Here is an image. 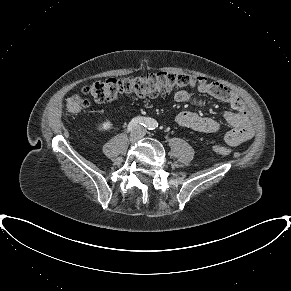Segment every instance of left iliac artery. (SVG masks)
<instances>
[{"instance_id":"1","label":"left iliac artery","mask_w":291,"mask_h":291,"mask_svg":"<svg viewBox=\"0 0 291 291\" xmlns=\"http://www.w3.org/2000/svg\"><path fill=\"white\" fill-rule=\"evenodd\" d=\"M153 125H148V129H154L153 127H152Z\"/></svg>"}]
</instances>
